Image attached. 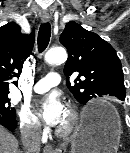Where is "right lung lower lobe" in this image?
Segmentation results:
<instances>
[{"label": "right lung lower lobe", "instance_id": "right-lung-lower-lobe-1", "mask_svg": "<svg viewBox=\"0 0 130 153\" xmlns=\"http://www.w3.org/2000/svg\"><path fill=\"white\" fill-rule=\"evenodd\" d=\"M0 124L8 130L13 131L17 127L16 117H11L3 112H0Z\"/></svg>", "mask_w": 130, "mask_h": 153}]
</instances>
